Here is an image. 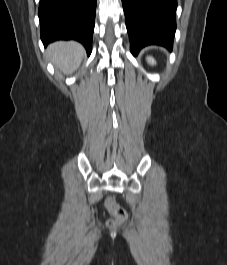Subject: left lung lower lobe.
<instances>
[{"label": "left lung lower lobe", "mask_w": 227, "mask_h": 265, "mask_svg": "<svg viewBox=\"0 0 227 265\" xmlns=\"http://www.w3.org/2000/svg\"><path fill=\"white\" fill-rule=\"evenodd\" d=\"M131 52L156 44L172 50L177 0H122Z\"/></svg>", "instance_id": "0a47b994"}]
</instances>
